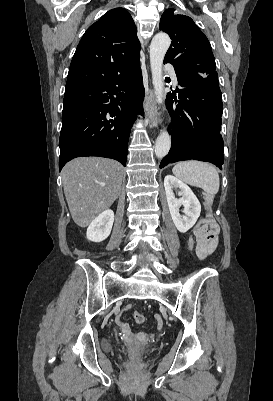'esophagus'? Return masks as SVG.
Segmentation results:
<instances>
[{"label": "esophagus", "mask_w": 273, "mask_h": 401, "mask_svg": "<svg viewBox=\"0 0 273 401\" xmlns=\"http://www.w3.org/2000/svg\"><path fill=\"white\" fill-rule=\"evenodd\" d=\"M144 110L150 127L158 126V110L154 100L153 90L149 89L144 98Z\"/></svg>", "instance_id": "obj_1"}]
</instances>
